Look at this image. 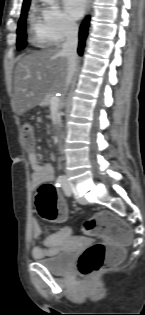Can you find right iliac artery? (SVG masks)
<instances>
[{
    "label": "right iliac artery",
    "instance_id": "1",
    "mask_svg": "<svg viewBox=\"0 0 145 315\" xmlns=\"http://www.w3.org/2000/svg\"><path fill=\"white\" fill-rule=\"evenodd\" d=\"M64 184V179L62 176H59L57 179H56V186L57 187H62Z\"/></svg>",
    "mask_w": 145,
    "mask_h": 315
}]
</instances>
